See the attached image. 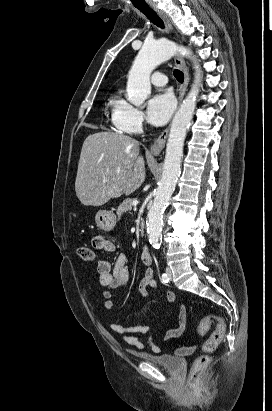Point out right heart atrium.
Masks as SVG:
<instances>
[{"label":"right heart atrium","instance_id":"right-heart-atrium-1","mask_svg":"<svg viewBox=\"0 0 272 411\" xmlns=\"http://www.w3.org/2000/svg\"><path fill=\"white\" fill-rule=\"evenodd\" d=\"M112 121L118 129L137 134L143 129L144 114L139 108L121 98L113 106Z\"/></svg>","mask_w":272,"mask_h":411}]
</instances>
